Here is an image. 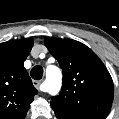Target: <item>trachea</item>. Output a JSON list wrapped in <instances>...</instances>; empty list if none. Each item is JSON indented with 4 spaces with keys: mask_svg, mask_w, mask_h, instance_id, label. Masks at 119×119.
<instances>
[{
    "mask_svg": "<svg viewBox=\"0 0 119 119\" xmlns=\"http://www.w3.org/2000/svg\"><path fill=\"white\" fill-rule=\"evenodd\" d=\"M30 75L34 80H40L43 76V68L39 65L34 66L31 69Z\"/></svg>",
    "mask_w": 119,
    "mask_h": 119,
    "instance_id": "trachea-1",
    "label": "trachea"
}]
</instances>
